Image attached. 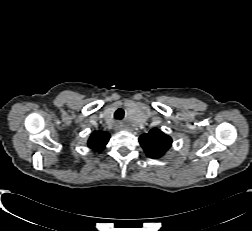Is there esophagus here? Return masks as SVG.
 Returning a JSON list of instances; mask_svg holds the SVG:
<instances>
[{"label": "esophagus", "instance_id": "esophagus-1", "mask_svg": "<svg viewBox=\"0 0 252 231\" xmlns=\"http://www.w3.org/2000/svg\"><path fill=\"white\" fill-rule=\"evenodd\" d=\"M114 127H115V130H116V131H119V130H122V129H123V124H122V122L117 121V122L115 123Z\"/></svg>", "mask_w": 252, "mask_h": 231}]
</instances>
